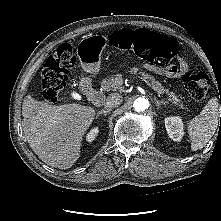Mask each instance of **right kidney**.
Segmentation results:
<instances>
[{
	"label": "right kidney",
	"instance_id": "right-kidney-1",
	"mask_svg": "<svg viewBox=\"0 0 221 221\" xmlns=\"http://www.w3.org/2000/svg\"><path fill=\"white\" fill-rule=\"evenodd\" d=\"M98 132H99L98 127L92 128L86 136V141L92 142L97 136Z\"/></svg>",
	"mask_w": 221,
	"mask_h": 221
}]
</instances>
